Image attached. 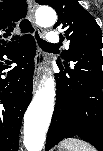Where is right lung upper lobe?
I'll return each mask as SVG.
<instances>
[{"label":"right lung upper lobe","mask_w":103,"mask_h":151,"mask_svg":"<svg viewBox=\"0 0 103 151\" xmlns=\"http://www.w3.org/2000/svg\"><path fill=\"white\" fill-rule=\"evenodd\" d=\"M26 12L27 4L24 0L0 1V50L5 48L1 44L4 39H17V36H12V32L16 22L25 17Z\"/></svg>","instance_id":"right-lung-upper-lobe-1"}]
</instances>
